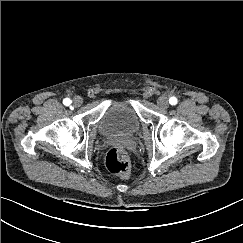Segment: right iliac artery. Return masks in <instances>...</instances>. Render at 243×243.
I'll return each instance as SVG.
<instances>
[{"label": "right iliac artery", "mask_w": 243, "mask_h": 243, "mask_svg": "<svg viewBox=\"0 0 243 243\" xmlns=\"http://www.w3.org/2000/svg\"><path fill=\"white\" fill-rule=\"evenodd\" d=\"M63 104L66 105V106H69L71 104V100L69 98H65L63 100Z\"/></svg>", "instance_id": "right-iliac-artery-1"}]
</instances>
